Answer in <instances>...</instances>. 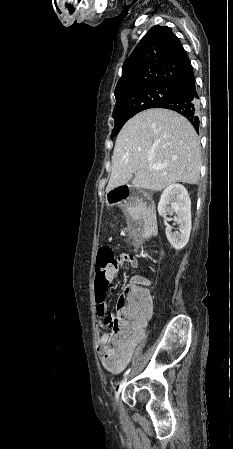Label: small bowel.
Here are the masks:
<instances>
[{
	"instance_id": "small-bowel-1",
	"label": "small bowel",
	"mask_w": 233,
	"mask_h": 449,
	"mask_svg": "<svg viewBox=\"0 0 233 449\" xmlns=\"http://www.w3.org/2000/svg\"><path fill=\"white\" fill-rule=\"evenodd\" d=\"M123 265H127L128 267H131V268H136L138 265V261H137L136 257L132 254H129V253L120 254L118 257L117 266L109 269V279L110 280H114L116 278L121 266H123ZM149 313H150V309L146 312L145 316L149 315ZM97 314L100 318H105L108 315V305L106 303V300L104 301V303L101 306L97 307ZM143 324H144V320L142 321V325ZM101 326L103 328H106L107 321H105L104 323H101ZM142 336H143V328H142V326H139V329H138L137 333L135 334V336L133 338H131L129 341H127L125 344L121 345L122 350L120 353H117L114 348V353L117 354L118 356L122 357L124 360V364L121 368H119V370H122L127 365L129 360L132 358L133 353L136 348V345H137L138 341L142 338ZM114 341H116V339H114L109 332H103L101 335H99V337L97 339L98 353L101 355H105L106 352L108 351V349L110 348V346H112V345H110L111 342H114Z\"/></svg>"
}]
</instances>
